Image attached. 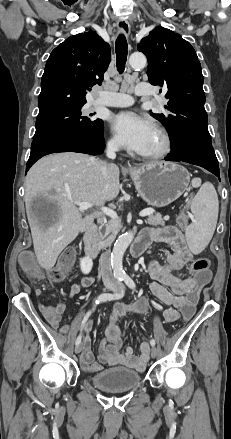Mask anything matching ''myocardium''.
<instances>
[{"mask_svg": "<svg viewBox=\"0 0 231 439\" xmlns=\"http://www.w3.org/2000/svg\"><path fill=\"white\" fill-rule=\"evenodd\" d=\"M155 130L161 138V146L158 150L150 153H141V156L147 159H159L168 155L172 149V140L166 129L156 126Z\"/></svg>", "mask_w": 231, "mask_h": 439, "instance_id": "myocardium-1", "label": "myocardium"}]
</instances>
